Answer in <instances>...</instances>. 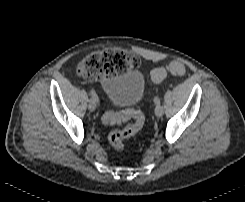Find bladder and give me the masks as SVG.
<instances>
[{"instance_id": "obj_1", "label": "bladder", "mask_w": 245, "mask_h": 202, "mask_svg": "<svg viewBox=\"0 0 245 202\" xmlns=\"http://www.w3.org/2000/svg\"><path fill=\"white\" fill-rule=\"evenodd\" d=\"M103 90L112 106H133L145 91V83L138 71L128 72L106 81Z\"/></svg>"}]
</instances>
